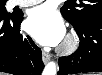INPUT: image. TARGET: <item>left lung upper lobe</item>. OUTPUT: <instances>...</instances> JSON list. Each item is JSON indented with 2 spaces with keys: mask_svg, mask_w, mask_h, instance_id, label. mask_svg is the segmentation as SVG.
<instances>
[{
  "mask_svg": "<svg viewBox=\"0 0 102 75\" xmlns=\"http://www.w3.org/2000/svg\"><path fill=\"white\" fill-rule=\"evenodd\" d=\"M61 13L72 25L80 21L102 20V0H67Z\"/></svg>",
  "mask_w": 102,
  "mask_h": 75,
  "instance_id": "5c2ea615",
  "label": "left lung upper lobe"
}]
</instances>
